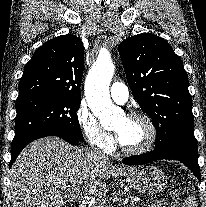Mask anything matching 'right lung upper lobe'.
Here are the masks:
<instances>
[{
  "label": "right lung upper lobe",
  "mask_w": 206,
  "mask_h": 207,
  "mask_svg": "<svg viewBox=\"0 0 206 207\" xmlns=\"http://www.w3.org/2000/svg\"><path fill=\"white\" fill-rule=\"evenodd\" d=\"M84 68L81 40L67 34L40 46L26 64L17 100L36 95L80 98Z\"/></svg>",
  "instance_id": "cb5924a9"
}]
</instances>
